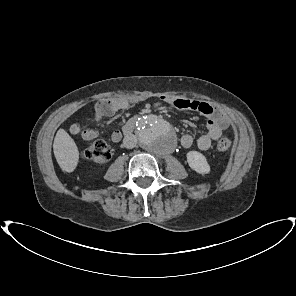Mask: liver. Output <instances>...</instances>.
<instances>
[{
	"mask_svg": "<svg viewBox=\"0 0 296 296\" xmlns=\"http://www.w3.org/2000/svg\"><path fill=\"white\" fill-rule=\"evenodd\" d=\"M53 151L60 168L65 172H73L79 161V151L71 136L59 129L56 133Z\"/></svg>",
	"mask_w": 296,
	"mask_h": 296,
	"instance_id": "liver-1",
	"label": "liver"
}]
</instances>
